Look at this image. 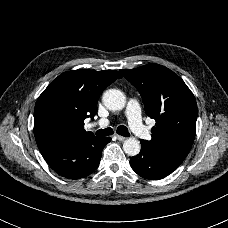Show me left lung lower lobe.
<instances>
[{"instance_id": "0a47b994", "label": "left lung lower lobe", "mask_w": 228, "mask_h": 228, "mask_svg": "<svg viewBox=\"0 0 228 228\" xmlns=\"http://www.w3.org/2000/svg\"><path fill=\"white\" fill-rule=\"evenodd\" d=\"M140 142L141 152L130 158V165L143 178L150 180L164 178L171 174L186 158L180 155L156 152L144 142Z\"/></svg>"}]
</instances>
